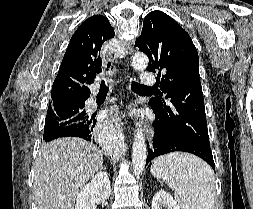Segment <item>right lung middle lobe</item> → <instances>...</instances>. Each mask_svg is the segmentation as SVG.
Returning a JSON list of instances; mask_svg holds the SVG:
<instances>
[{
    "instance_id": "dd1d6c3e",
    "label": "right lung middle lobe",
    "mask_w": 253,
    "mask_h": 209,
    "mask_svg": "<svg viewBox=\"0 0 253 209\" xmlns=\"http://www.w3.org/2000/svg\"><path fill=\"white\" fill-rule=\"evenodd\" d=\"M84 103L69 105V106H60L48 110L44 133L49 131H56L62 127L78 123L81 121H86L89 116L84 110Z\"/></svg>"
}]
</instances>
